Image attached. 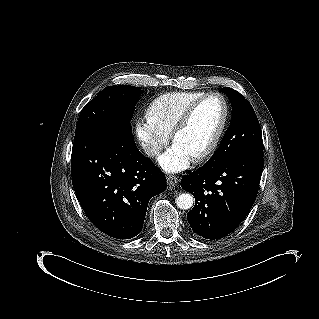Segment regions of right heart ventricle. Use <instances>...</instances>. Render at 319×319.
<instances>
[{"instance_id":"e07e8e85","label":"right heart ventricle","mask_w":319,"mask_h":319,"mask_svg":"<svg viewBox=\"0 0 319 319\" xmlns=\"http://www.w3.org/2000/svg\"><path fill=\"white\" fill-rule=\"evenodd\" d=\"M204 95V92L199 91L164 94L156 99L149 109L146 115V124L156 130L168 133L183 113Z\"/></svg>"}]
</instances>
